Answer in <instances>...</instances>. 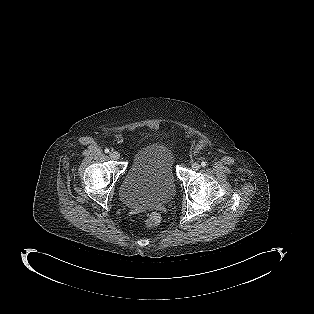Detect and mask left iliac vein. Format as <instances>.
Listing matches in <instances>:
<instances>
[{
    "label": "left iliac vein",
    "instance_id": "obj_1",
    "mask_svg": "<svg viewBox=\"0 0 314 314\" xmlns=\"http://www.w3.org/2000/svg\"><path fill=\"white\" fill-rule=\"evenodd\" d=\"M191 167H192L193 170H199L201 165L198 162H193L191 164Z\"/></svg>",
    "mask_w": 314,
    "mask_h": 314
}]
</instances>
